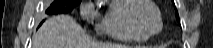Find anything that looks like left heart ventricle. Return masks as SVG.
Returning a JSON list of instances; mask_svg holds the SVG:
<instances>
[{
    "label": "left heart ventricle",
    "mask_w": 213,
    "mask_h": 48,
    "mask_svg": "<svg viewBox=\"0 0 213 48\" xmlns=\"http://www.w3.org/2000/svg\"><path fill=\"white\" fill-rule=\"evenodd\" d=\"M134 19L144 33H152L158 29L159 23L153 8L140 4L133 13Z\"/></svg>",
    "instance_id": "obj_1"
}]
</instances>
